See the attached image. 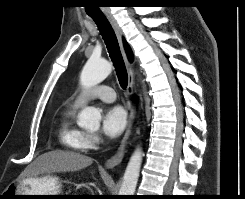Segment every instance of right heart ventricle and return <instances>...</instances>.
Listing matches in <instances>:
<instances>
[{
    "label": "right heart ventricle",
    "mask_w": 245,
    "mask_h": 199,
    "mask_svg": "<svg viewBox=\"0 0 245 199\" xmlns=\"http://www.w3.org/2000/svg\"><path fill=\"white\" fill-rule=\"evenodd\" d=\"M77 106L73 105L67 108L59 120V138L63 145L72 152H86L89 147L87 145V133L79 128L75 122V112Z\"/></svg>",
    "instance_id": "right-heart-ventricle-1"
}]
</instances>
